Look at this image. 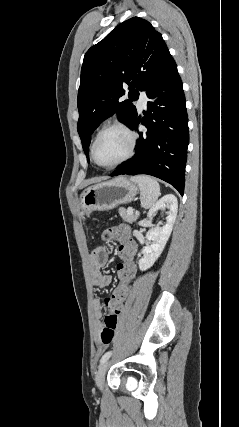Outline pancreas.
Returning <instances> with one entry per match:
<instances>
[{
    "instance_id": "obj_1",
    "label": "pancreas",
    "mask_w": 239,
    "mask_h": 427,
    "mask_svg": "<svg viewBox=\"0 0 239 427\" xmlns=\"http://www.w3.org/2000/svg\"><path fill=\"white\" fill-rule=\"evenodd\" d=\"M118 212L123 220L130 224L134 223L138 218L137 214H129L125 208H119Z\"/></svg>"
}]
</instances>
